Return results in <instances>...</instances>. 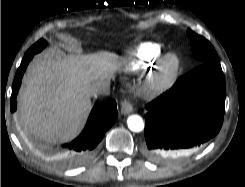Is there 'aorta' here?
Masks as SVG:
<instances>
[{"label": "aorta", "mask_w": 245, "mask_h": 187, "mask_svg": "<svg viewBox=\"0 0 245 187\" xmlns=\"http://www.w3.org/2000/svg\"><path fill=\"white\" fill-rule=\"evenodd\" d=\"M128 128L133 132H140L144 129L143 119L139 115H131L127 119Z\"/></svg>", "instance_id": "obj_1"}]
</instances>
